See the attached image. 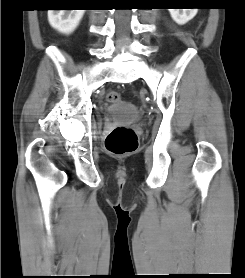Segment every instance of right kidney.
I'll return each mask as SVG.
<instances>
[{
  "mask_svg": "<svg viewBox=\"0 0 245 278\" xmlns=\"http://www.w3.org/2000/svg\"><path fill=\"white\" fill-rule=\"evenodd\" d=\"M85 10H48L50 25L61 33L69 34L78 26Z\"/></svg>",
  "mask_w": 245,
  "mask_h": 278,
  "instance_id": "right-kidney-1",
  "label": "right kidney"
}]
</instances>
